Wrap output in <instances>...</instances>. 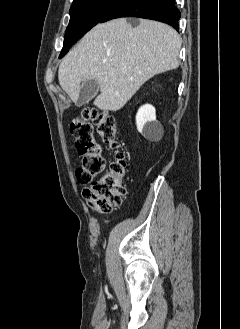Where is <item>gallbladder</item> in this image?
Wrapping results in <instances>:
<instances>
[{
	"label": "gallbladder",
	"mask_w": 240,
	"mask_h": 329,
	"mask_svg": "<svg viewBox=\"0 0 240 329\" xmlns=\"http://www.w3.org/2000/svg\"><path fill=\"white\" fill-rule=\"evenodd\" d=\"M99 91V84L97 81L90 79L82 83L80 86L79 97L77 104L82 106L93 99Z\"/></svg>",
	"instance_id": "1"
}]
</instances>
